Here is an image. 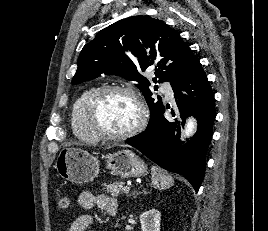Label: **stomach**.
Masks as SVG:
<instances>
[{"instance_id": "stomach-1", "label": "stomach", "mask_w": 268, "mask_h": 231, "mask_svg": "<svg viewBox=\"0 0 268 231\" xmlns=\"http://www.w3.org/2000/svg\"><path fill=\"white\" fill-rule=\"evenodd\" d=\"M106 167L113 175L121 178L140 177L147 172L144 161L130 150H119L109 154ZM55 169L64 180L83 184L98 176L99 161L86 150L69 147L60 151Z\"/></svg>"}]
</instances>
